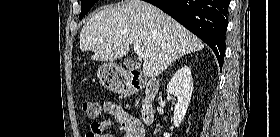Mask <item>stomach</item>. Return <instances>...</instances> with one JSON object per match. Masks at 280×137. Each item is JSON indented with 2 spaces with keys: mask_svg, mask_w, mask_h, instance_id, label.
I'll use <instances>...</instances> for the list:
<instances>
[{
  "mask_svg": "<svg viewBox=\"0 0 280 137\" xmlns=\"http://www.w3.org/2000/svg\"><path fill=\"white\" fill-rule=\"evenodd\" d=\"M117 74L114 70V65L103 64L99 67L97 75L102 85L107 89L122 92L124 89L118 86Z\"/></svg>",
  "mask_w": 280,
  "mask_h": 137,
  "instance_id": "stomach-1",
  "label": "stomach"
}]
</instances>
